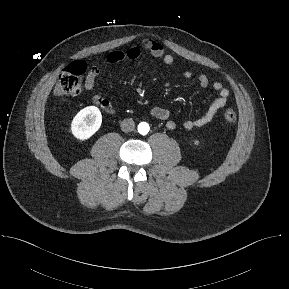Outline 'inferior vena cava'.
Returning a JSON list of instances; mask_svg holds the SVG:
<instances>
[{
    "label": "inferior vena cava",
    "instance_id": "obj_1",
    "mask_svg": "<svg viewBox=\"0 0 289 289\" xmlns=\"http://www.w3.org/2000/svg\"><path fill=\"white\" fill-rule=\"evenodd\" d=\"M135 128V122L133 121V119H124L121 122V130L123 132H131L133 131Z\"/></svg>",
    "mask_w": 289,
    "mask_h": 289
}]
</instances>
